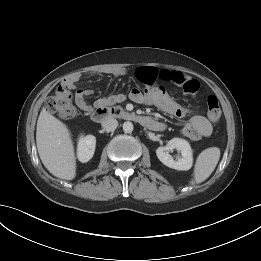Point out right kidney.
I'll list each match as a JSON object with an SVG mask.
<instances>
[{
	"label": "right kidney",
	"mask_w": 261,
	"mask_h": 261,
	"mask_svg": "<svg viewBox=\"0 0 261 261\" xmlns=\"http://www.w3.org/2000/svg\"><path fill=\"white\" fill-rule=\"evenodd\" d=\"M96 138L93 135L80 137L77 146V157L80 162H88L94 154Z\"/></svg>",
	"instance_id": "ca27d5eb"
}]
</instances>
